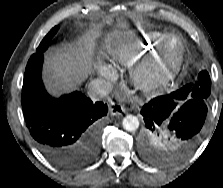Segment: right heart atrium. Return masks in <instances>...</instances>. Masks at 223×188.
<instances>
[{"mask_svg":"<svg viewBox=\"0 0 223 188\" xmlns=\"http://www.w3.org/2000/svg\"><path fill=\"white\" fill-rule=\"evenodd\" d=\"M100 74L106 79H112L115 76L114 70L109 66H104L100 69Z\"/></svg>","mask_w":223,"mask_h":188,"instance_id":"1","label":"right heart atrium"}]
</instances>
